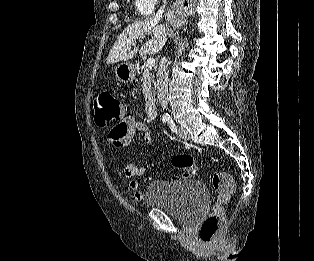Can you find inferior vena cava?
<instances>
[{
	"mask_svg": "<svg viewBox=\"0 0 314 261\" xmlns=\"http://www.w3.org/2000/svg\"><path fill=\"white\" fill-rule=\"evenodd\" d=\"M164 7L165 5L157 12L155 16L156 20H160L162 17ZM168 73L167 59L163 58L157 71V95L163 109H167L168 107Z\"/></svg>",
	"mask_w": 314,
	"mask_h": 261,
	"instance_id": "obj_1",
	"label": "inferior vena cava"
}]
</instances>
